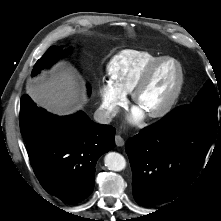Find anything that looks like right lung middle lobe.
Masks as SVG:
<instances>
[{"instance_id": "dd1d6c3e", "label": "right lung middle lobe", "mask_w": 221, "mask_h": 221, "mask_svg": "<svg viewBox=\"0 0 221 221\" xmlns=\"http://www.w3.org/2000/svg\"><path fill=\"white\" fill-rule=\"evenodd\" d=\"M63 47H50L47 52L43 55L41 59L37 61V63L33 67L32 75H35L40 69L49 67L55 61H57L60 57H62L66 51H62ZM89 91L90 86L88 85Z\"/></svg>"}]
</instances>
